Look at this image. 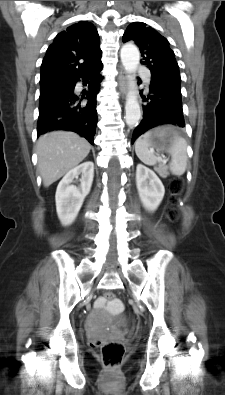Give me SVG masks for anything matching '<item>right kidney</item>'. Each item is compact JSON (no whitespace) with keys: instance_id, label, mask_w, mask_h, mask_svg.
<instances>
[{"instance_id":"obj_1","label":"right kidney","mask_w":225,"mask_h":395,"mask_svg":"<svg viewBox=\"0 0 225 395\" xmlns=\"http://www.w3.org/2000/svg\"><path fill=\"white\" fill-rule=\"evenodd\" d=\"M81 175L80 185L71 183ZM94 176L93 162H84L70 170L59 182L56 190V211L62 225L71 224L89 194Z\"/></svg>"}]
</instances>
